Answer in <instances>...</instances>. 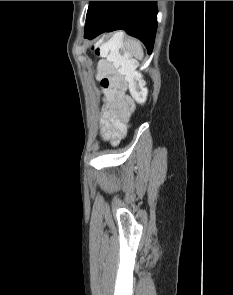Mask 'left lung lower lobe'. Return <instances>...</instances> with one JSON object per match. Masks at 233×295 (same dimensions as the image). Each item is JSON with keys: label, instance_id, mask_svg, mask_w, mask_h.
Instances as JSON below:
<instances>
[{"label": "left lung lower lobe", "instance_id": "obj_1", "mask_svg": "<svg viewBox=\"0 0 233 295\" xmlns=\"http://www.w3.org/2000/svg\"><path fill=\"white\" fill-rule=\"evenodd\" d=\"M117 29L140 39L151 54L157 29V1H95L86 17V38Z\"/></svg>", "mask_w": 233, "mask_h": 295}]
</instances>
